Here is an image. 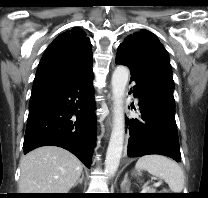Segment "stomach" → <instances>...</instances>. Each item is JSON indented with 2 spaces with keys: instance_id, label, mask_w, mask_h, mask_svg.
I'll use <instances>...</instances> for the list:
<instances>
[{
  "instance_id": "obj_1",
  "label": "stomach",
  "mask_w": 208,
  "mask_h": 198,
  "mask_svg": "<svg viewBox=\"0 0 208 198\" xmlns=\"http://www.w3.org/2000/svg\"><path fill=\"white\" fill-rule=\"evenodd\" d=\"M132 174H133L134 176H136V177H139V176L142 175L141 171L138 170V169H135V170L132 172Z\"/></svg>"
}]
</instances>
